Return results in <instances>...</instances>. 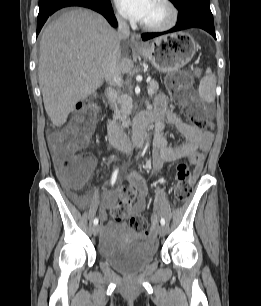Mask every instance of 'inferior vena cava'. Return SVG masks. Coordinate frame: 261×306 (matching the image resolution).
<instances>
[{"mask_svg":"<svg viewBox=\"0 0 261 306\" xmlns=\"http://www.w3.org/2000/svg\"><path fill=\"white\" fill-rule=\"evenodd\" d=\"M119 41L129 38L130 30L127 22L124 19H118V32ZM120 49L116 46L107 56L103 64V73L106 83L110 86L121 85L123 83L122 75L119 70Z\"/></svg>","mask_w":261,"mask_h":306,"instance_id":"1","label":"inferior vena cava"}]
</instances>
